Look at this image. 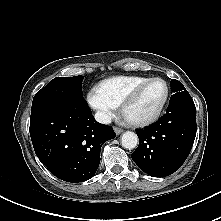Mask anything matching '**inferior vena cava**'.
<instances>
[{
	"mask_svg": "<svg viewBox=\"0 0 221 221\" xmlns=\"http://www.w3.org/2000/svg\"><path fill=\"white\" fill-rule=\"evenodd\" d=\"M95 120L101 124L111 123V116L105 112L98 111L95 113Z\"/></svg>",
	"mask_w": 221,
	"mask_h": 221,
	"instance_id": "602c4592",
	"label": "inferior vena cava"
}]
</instances>
